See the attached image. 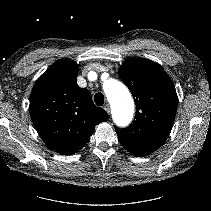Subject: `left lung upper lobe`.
<instances>
[{
    "mask_svg": "<svg viewBox=\"0 0 211 211\" xmlns=\"http://www.w3.org/2000/svg\"><path fill=\"white\" fill-rule=\"evenodd\" d=\"M118 74L136 104L133 123L127 128H115L118 138L162 145L171 132L178 105L172 80L162 67L144 58L126 61L119 67Z\"/></svg>",
    "mask_w": 211,
    "mask_h": 211,
    "instance_id": "obj_1",
    "label": "left lung upper lobe"
}]
</instances>
